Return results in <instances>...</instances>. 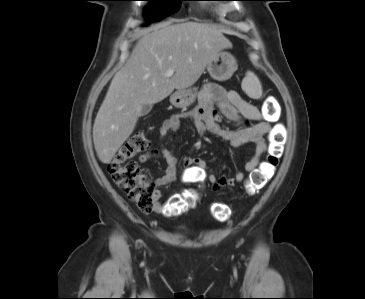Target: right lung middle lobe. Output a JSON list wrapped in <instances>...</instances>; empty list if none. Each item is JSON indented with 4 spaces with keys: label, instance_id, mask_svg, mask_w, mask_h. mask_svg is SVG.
Returning a JSON list of instances; mask_svg holds the SVG:
<instances>
[{
    "label": "right lung middle lobe",
    "instance_id": "dd1d6c3e",
    "mask_svg": "<svg viewBox=\"0 0 365 299\" xmlns=\"http://www.w3.org/2000/svg\"><path fill=\"white\" fill-rule=\"evenodd\" d=\"M151 1L150 10L145 13V17L149 20H153V14L155 11H164L165 17L178 11L179 6L176 1L180 0H147Z\"/></svg>",
    "mask_w": 365,
    "mask_h": 299
}]
</instances>
